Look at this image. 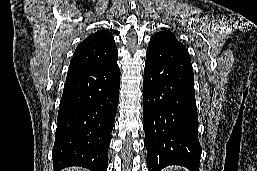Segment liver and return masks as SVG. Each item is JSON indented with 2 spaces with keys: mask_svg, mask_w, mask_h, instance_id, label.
<instances>
[{
  "mask_svg": "<svg viewBox=\"0 0 257 171\" xmlns=\"http://www.w3.org/2000/svg\"><path fill=\"white\" fill-rule=\"evenodd\" d=\"M65 171H86V170H82L81 168H71V169L65 170Z\"/></svg>",
  "mask_w": 257,
  "mask_h": 171,
  "instance_id": "1",
  "label": "liver"
}]
</instances>
